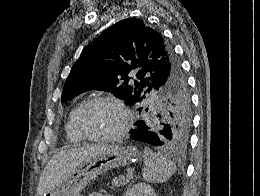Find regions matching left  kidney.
I'll list each match as a JSON object with an SVG mask.
<instances>
[{"label":"left kidney","instance_id":"obj_1","mask_svg":"<svg viewBox=\"0 0 260 196\" xmlns=\"http://www.w3.org/2000/svg\"><path fill=\"white\" fill-rule=\"evenodd\" d=\"M125 196H157V194H155L151 186H148V184H143V182H141V184H135V186L129 188Z\"/></svg>","mask_w":260,"mask_h":196}]
</instances>
